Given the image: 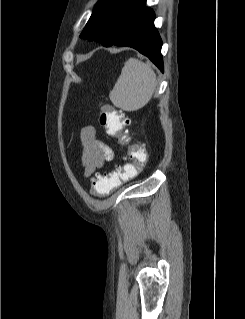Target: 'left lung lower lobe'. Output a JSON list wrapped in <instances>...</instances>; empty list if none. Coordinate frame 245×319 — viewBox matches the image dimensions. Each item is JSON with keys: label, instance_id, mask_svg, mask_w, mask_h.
I'll return each mask as SVG.
<instances>
[{"label": "left lung lower lobe", "instance_id": "1", "mask_svg": "<svg viewBox=\"0 0 245 319\" xmlns=\"http://www.w3.org/2000/svg\"><path fill=\"white\" fill-rule=\"evenodd\" d=\"M144 6L128 20L111 45L135 48L149 57L163 72L162 41L154 26L155 14L152 9Z\"/></svg>", "mask_w": 245, "mask_h": 319}]
</instances>
